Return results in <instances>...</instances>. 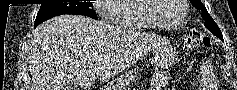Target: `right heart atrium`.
Returning <instances> with one entry per match:
<instances>
[{
  "instance_id": "1",
  "label": "right heart atrium",
  "mask_w": 237,
  "mask_h": 90,
  "mask_svg": "<svg viewBox=\"0 0 237 90\" xmlns=\"http://www.w3.org/2000/svg\"><path fill=\"white\" fill-rule=\"evenodd\" d=\"M119 0H98V2H95L96 6H109L110 3H118ZM99 17L103 20L107 19V14L103 11H99Z\"/></svg>"
}]
</instances>
